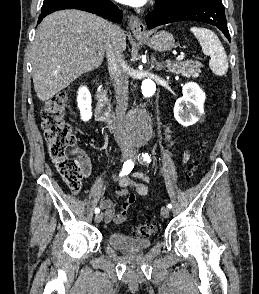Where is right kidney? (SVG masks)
Returning <instances> with one entry per match:
<instances>
[{
    "mask_svg": "<svg viewBox=\"0 0 259 294\" xmlns=\"http://www.w3.org/2000/svg\"><path fill=\"white\" fill-rule=\"evenodd\" d=\"M78 108L80 110L81 119L86 122L89 121L92 117L91 111V94L86 86H81L78 90L77 96Z\"/></svg>",
    "mask_w": 259,
    "mask_h": 294,
    "instance_id": "1",
    "label": "right kidney"
}]
</instances>
